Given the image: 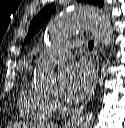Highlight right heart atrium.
Returning a JSON list of instances; mask_svg holds the SVG:
<instances>
[{
	"mask_svg": "<svg viewBox=\"0 0 125 128\" xmlns=\"http://www.w3.org/2000/svg\"><path fill=\"white\" fill-rule=\"evenodd\" d=\"M49 100H50V102H51V104L53 105L54 108L59 106V102L54 97H49Z\"/></svg>",
	"mask_w": 125,
	"mask_h": 128,
	"instance_id": "obj_1",
	"label": "right heart atrium"
}]
</instances>
